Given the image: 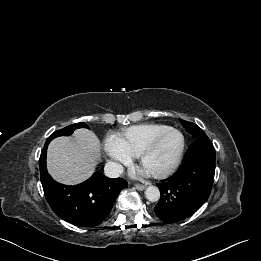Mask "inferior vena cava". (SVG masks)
<instances>
[{
  "label": "inferior vena cava",
  "instance_id": "inferior-vena-cava-1",
  "mask_svg": "<svg viewBox=\"0 0 261 261\" xmlns=\"http://www.w3.org/2000/svg\"><path fill=\"white\" fill-rule=\"evenodd\" d=\"M104 172L109 178H118L123 174L124 168L120 163L108 162L105 165Z\"/></svg>",
  "mask_w": 261,
  "mask_h": 261
}]
</instances>
